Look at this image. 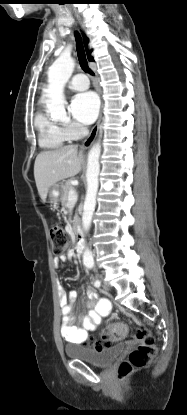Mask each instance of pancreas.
<instances>
[{
    "mask_svg": "<svg viewBox=\"0 0 187 415\" xmlns=\"http://www.w3.org/2000/svg\"><path fill=\"white\" fill-rule=\"evenodd\" d=\"M71 189H74L73 185L71 184V181L68 180L65 182V186H64V191H63V195H62V199H61V203L62 206L64 208H66L68 206V197H69V192ZM77 221V217L75 218V222Z\"/></svg>",
    "mask_w": 187,
    "mask_h": 415,
    "instance_id": "1",
    "label": "pancreas"
}]
</instances>
